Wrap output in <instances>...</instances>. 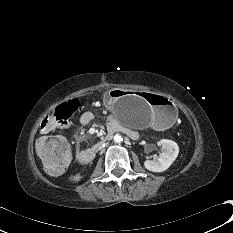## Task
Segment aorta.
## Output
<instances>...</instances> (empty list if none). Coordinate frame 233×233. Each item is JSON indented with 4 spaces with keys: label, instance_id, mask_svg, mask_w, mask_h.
Listing matches in <instances>:
<instances>
[{
    "label": "aorta",
    "instance_id": "aorta-1",
    "mask_svg": "<svg viewBox=\"0 0 233 233\" xmlns=\"http://www.w3.org/2000/svg\"><path fill=\"white\" fill-rule=\"evenodd\" d=\"M122 140H123V138H122L121 135L116 134V135L114 136V141H115L116 143H120Z\"/></svg>",
    "mask_w": 233,
    "mask_h": 233
}]
</instances>
